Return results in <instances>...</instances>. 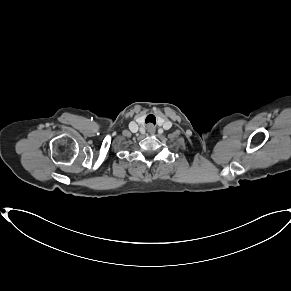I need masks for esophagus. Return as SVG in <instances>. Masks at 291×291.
Returning <instances> with one entry per match:
<instances>
[{
  "label": "esophagus",
  "instance_id": "obj_1",
  "mask_svg": "<svg viewBox=\"0 0 291 291\" xmlns=\"http://www.w3.org/2000/svg\"><path fill=\"white\" fill-rule=\"evenodd\" d=\"M148 130L151 131V130H153V129H152V127H148Z\"/></svg>",
  "mask_w": 291,
  "mask_h": 291
}]
</instances>
